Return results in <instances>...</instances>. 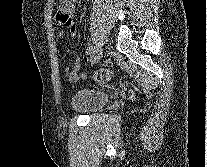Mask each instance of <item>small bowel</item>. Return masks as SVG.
Segmentation results:
<instances>
[{
    "instance_id": "obj_1",
    "label": "small bowel",
    "mask_w": 207,
    "mask_h": 167,
    "mask_svg": "<svg viewBox=\"0 0 207 167\" xmlns=\"http://www.w3.org/2000/svg\"><path fill=\"white\" fill-rule=\"evenodd\" d=\"M76 2L77 0H58L57 3L56 22L60 25L65 26L69 30L71 37H74L77 31L76 25L73 21V16L76 10ZM58 36L63 37V32L59 31ZM90 60L91 58L89 54L83 57L84 62H89ZM64 74L68 77V79L71 82L84 80L87 77L86 73L80 71L79 58H76L74 60L72 68H64Z\"/></svg>"
}]
</instances>
